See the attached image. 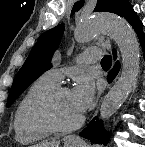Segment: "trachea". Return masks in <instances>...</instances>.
Here are the masks:
<instances>
[{
  "label": "trachea",
  "mask_w": 145,
  "mask_h": 147,
  "mask_svg": "<svg viewBox=\"0 0 145 147\" xmlns=\"http://www.w3.org/2000/svg\"><path fill=\"white\" fill-rule=\"evenodd\" d=\"M112 64V59L111 56L106 55L102 60H101V65L102 66H109Z\"/></svg>",
  "instance_id": "1"
}]
</instances>
